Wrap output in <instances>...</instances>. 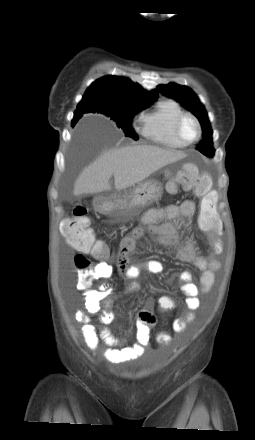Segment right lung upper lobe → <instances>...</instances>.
Masks as SVG:
<instances>
[{
    "mask_svg": "<svg viewBox=\"0 0 255 440\" xmlns=\"http://www.w3.org/2000/svg\"><path fill=\"white\" fill-rule=\"evenodd\" d=\"M83 97L95 98L110 103L129 104L137 102L152 103L158 97L156 90L145 91L139 84L120 76H105L93 82ZM78 120L76 112L72 125Z\"/></svg>",
    "mask_w": 255,
    "mask_h": 440,
    "instance_id": "right-lung-upper-lobe-1",
    "label": "right lung upper lobe"
}]
</instances>
